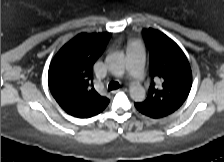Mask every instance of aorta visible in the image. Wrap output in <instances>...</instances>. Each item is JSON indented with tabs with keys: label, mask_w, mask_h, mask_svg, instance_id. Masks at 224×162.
Returning <instances> with one entry per match:
<instances>
[{
	"label": "aorta",
	"mask_w": 224,
	"mask_h": 162,
	"mask_svg": "<svg viewBox=\"0 0 224 162\" xmlns=\"http://www.w3.org/2000/svg\"><path fill=\"white\" fill-rule=\"evenodd\" d=\"M109 71L118 77H122L125 72L124 56L121 53H112L106 59ZM130 97L135 102H142L145 99V89L139 84H133L129 89Z\"/></svg>",
	"instance_id": "1"
}]
</instances>
